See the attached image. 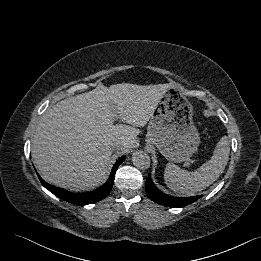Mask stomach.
<instances>
[{"instance_id": "0dacf381", "label": "stomach", "mask_w": 261, "mask_h": 261, "mask_svg": "<svg viewBox=\"0 0 261 261\" xmlns=\"http://www.w3.org/2000/svg\"><path fill=\"white\" fill-rule=\"evenodd\" d=\"M193 106L173 84L159 99L148 123L146 142L157 147L169 161L188 160L197 150L200 137L193 123Z\"/></svg>"}]
</instances>
